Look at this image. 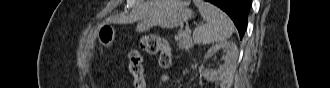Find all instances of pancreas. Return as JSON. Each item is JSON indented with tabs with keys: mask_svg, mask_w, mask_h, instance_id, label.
Returning a JSON list of instances; mask_svg holds the SVG:
<instances>
[{
	"mask_svg": "<svg viewBox=\"0 0 330 88\" xmlns=\"http://www.w3.org/2000/svg\"><path fill=\"white\" fill-rule=\"evenodd\" d=\"M175 41L179 49H185L186 51H189V49L193 46L190 33L186 31L179 30L175 37Z\"/></svg>",
	"mask_w": 330,
	"mask_h": 88,
	"instance_id": "pancreas-1",
	"label": "pancreas"
}]
</instances>
